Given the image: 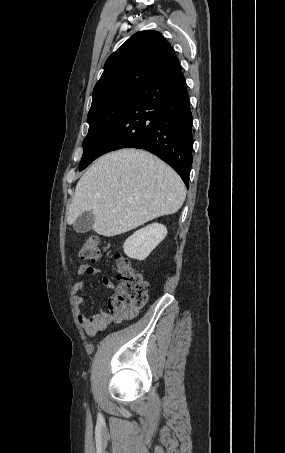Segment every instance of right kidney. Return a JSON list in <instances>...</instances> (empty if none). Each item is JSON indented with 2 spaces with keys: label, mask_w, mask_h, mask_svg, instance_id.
<instances>
[{
  "label": "right kidney",
  "mask_w": 285,
  "mask_h": 453,
  "mask_svg": "<svg viewBox=\"0 0 285 453\" xmlns=\"http://www.w3.org/2000/svg\"><path fill=\"white\" fill-rule=\"evenodd\" d=\"M166 235L167 229L164 225L150 224L126 239L123 245L124 252L130 258L144 260Z\"/></svg>",
  "instance_id": "1"
}]
</instances>
